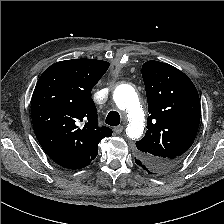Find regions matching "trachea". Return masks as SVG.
<instances>
[{"mask_svg": "<svg viewBox=\"0 0 224 224\" xmlns=\"http://www.w3.org/2000/svg\"><path fill=\"white\" fill-rule=\"evenodd\" d=\"M106 124L117 126L120 124V115L116 111H110L106 117Z\"/></svg>", "mask_w": 224, "mask_h": 224, "instance_id": "trachea-1", "label": "trachea"}]
</instances>
